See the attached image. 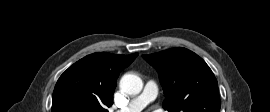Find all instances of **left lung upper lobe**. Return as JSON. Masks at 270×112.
I'll return each instance as SVG.
<instances>
[{"label": "left lung upper lobe", "instance_id": "obj_1", "mask_svg": "<svg viewBox=\"0 0 270 112\" xmlns=\"http://www.w3.org/2000/svg\"><path fill=\"white\" fill-rule=\"evenodd\" d=\"M143 58L159 73L165 94V110L220 111L217 80L209 66L197 54L179 47L143 55Z\"/></svg>", "mask_w": 270, "mask_h": 112}]
</instances>
